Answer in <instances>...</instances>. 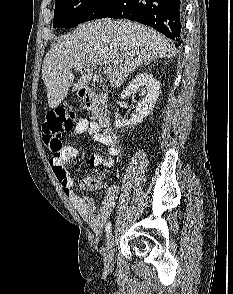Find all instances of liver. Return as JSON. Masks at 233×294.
<instances>
[{
  "label": "liver",
  "instance_id": "liver-1",
  "mask_svg": "<svg viewBox=\"0 0 233 294\" xmlns=\"http://www.w3.org/2000/svg\"><path fill=\"white\" fill-rule=\"evenodd\" d=\"M175 56L169 41L154 29L125 20L102 19L80 25L61 37L46 54L42 79L50 108H55L72 92L83 89L92 79L96 65L112 67L110 84L119 87L136 68L157 58ZM83 65L74 82L72 70Z\"/></svg>",
  "mask_w": 233,
  "mask_h": 294
}]
</instances>
